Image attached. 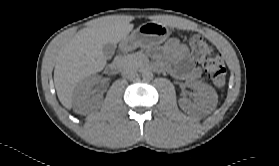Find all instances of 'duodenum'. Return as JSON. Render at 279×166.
I'll return each mask as SVG.
<instances>
[{"instance_id": "duodenum-1", "label": "duodenum", "mask_w": 279, "mask_h": 166, "mask_svg": "<svg viewBox=\"0 0 279 166\" xmlns=\"http://www.w3.org/2000/svg\"><path fill=\"white\" fill-rule=\"evenodd\" d=\"M129 49V45H125L123 48V51H127ZM124 64V59L122 55H118L114 58V60L109 64V66L107 67V71L109 74H117L121 71L122 67ZM148 68L150 69H158V67L156 65L154 66H149Z\"/></svg>"}]
</instances>
